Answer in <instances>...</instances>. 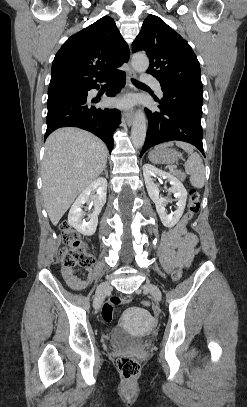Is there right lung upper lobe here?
<instances>
[{
    "label": "right lung upper lobe",
    "mask_w": 247,
    "mask_h": 407,
    "mask_svg": "<svg viewBox=\"0 0 247 407\" xmlns=\"http://www.w3.org/2000/svg\"><path fill=\"white\" fill-rule=\"evenodd\" d=\"M129 59L127 43L114 20L104 16L72 35L55 55L48 90L91 87Z\"/></svg>",
    "instance_id": "1"
}]
</instances>
